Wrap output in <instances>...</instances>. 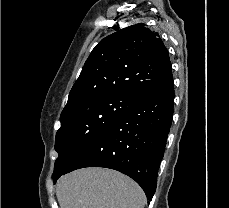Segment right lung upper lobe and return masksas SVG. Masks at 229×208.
I'll use <instances>...</instances> for the list:
<instances>
[{
	"label": "right lung upper lobe",
	"instance_id": "cb5924a9",
	"mask_svg": "<svg viewBox=\"0 0 229 208\" xmlns=\"http://www.w3.org/2000/svg\"><path fill=\"white\" fill-rule=\"evenodd\" d=\"M172 80L169 53L159 34L143 23L135 24L102 39L92 50L61 116L78 104L105 95L139 101Z\"/></svg>",
	"mask_w": 229,
	"mask_h": 208
}]
</instances>
